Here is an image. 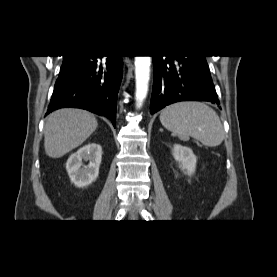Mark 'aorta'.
<instances>
[{"label":"aorta","instance_id":"1","mask_svg":"<svg viewBox=\"0 0 277 277\" xmlns=\"http://www.w3.org/2000/svg\"><path fill=\"white\" fill-rule=\"evenodd\" d=\"M150 56H135L136 105L141 107L148 93L150 79Z\"/></svg>","mask_w":277,"mask_h":277}]
</instances>
